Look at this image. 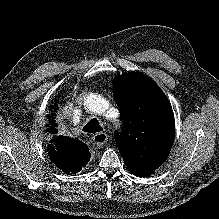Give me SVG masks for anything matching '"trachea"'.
I'll list each match as a JSON object with an SVG mask.
<instances>
[{"label": "trachea", "mask_w": 219, "mask_h": 219, "mask_svg": "<svg viewBox=\"0 0 219 219\" xmlns=\"http://www.w3.org/2000/svg\"><path fill=\"white\" fill-rule=\"evenodd\" d=\"M82 131L88 132V133H96V132L103 131V128L98 122V120L93 118L83 127Z\"/></svg>", "instance_id": "1"}]
</instances>
